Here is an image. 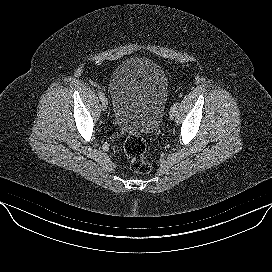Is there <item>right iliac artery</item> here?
Returning a JSON list of instances; mask_svg holds the SVG:
<instances>
[{"label": "right iliac artery", "mask_w": 272, "mask_h": 272, "mask_svg": "<svg viewBox=\"0 0 272 272\" xmlns=\"http://www.w3.org/2000/svg\"><path fill=\"white\" fill-rule=\"evenodd\" d=\"M98 96H99L101 101L105 99V96H104V94L102 92H98Z\"/></svg>", "instance_id": "right-iliac-artery-1"}]
</instances>
